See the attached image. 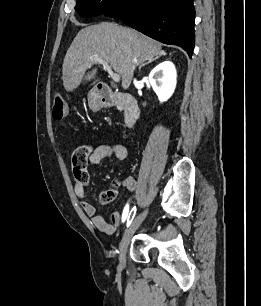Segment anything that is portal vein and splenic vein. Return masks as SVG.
Wrapping results in <instances>:
<instances>
[{"instance_id": "portal-vein-and-splenic-vein-1", "label": "portal vein and splenic vein", "mask_w": 261, "mask_h": 306, "mask_svg": "<svg viewBox=\"0 0 261 306\" xmlns=\"http://www.w3.org/2000/svg\"><path fill=\"white\" fill-rule=\"evenodd\" d=\"M97 63L101 64L105 68V70L108 72L109 76L112 78L114 82L120 81V75L117 73H114L109 63L102 58L92 57L90 59V62L88 63V67H91L93 64H97Z\"/></svg>"}]
</instances>
